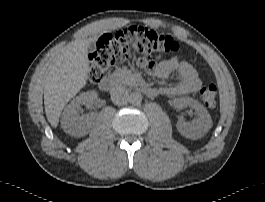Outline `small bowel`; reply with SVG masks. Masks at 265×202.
I'll list each match as a JSON object with an SVG mask.
<instances>
[{"label":"small bowel","mask_w":265,"mask_h":202,"mask_svg":"<svg viewBox=\"0 0 265 202\" xmlns=\"http://www.w3.org/2000/svg\"><path fill=\"white\" fill-rule=\"evenodd\" d=\"M148 72L162 80L170 79L173 72L177 73L174 84L162 89V92L169 96L194 94L202 85L196 69L178 56L158 62L152 69H148Z\"/></svg>","instance_id":"small-bowel-1"}]
</instances>
